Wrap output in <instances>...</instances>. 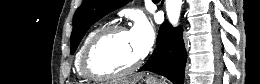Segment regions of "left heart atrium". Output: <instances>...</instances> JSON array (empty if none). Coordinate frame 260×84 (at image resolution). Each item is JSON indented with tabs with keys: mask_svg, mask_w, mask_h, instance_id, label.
Here are the masks:
<instances>
[{
	"mask_svg": "<svg viewBox=\"0 0 260 84\" xmlns=\"http://www.w3.org/2000/svg\"><path fill=\"white\" fill-rule=\"evenodd\" d=\"M130 34L140 56H145L153 46L155 34L151 23L143 16L135 20Z\"/></svg>",
	"mask_w": 260,
	"mask_h": 84,
	"instance_id": "1",
	"label": "left heart atrium"
}]
</instances>
